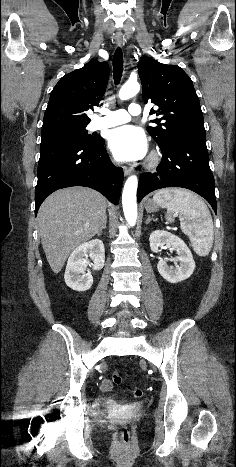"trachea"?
Returning a JSON list of instances; mask_svg holds the SVG:
<instances>
[{"label": "trachea", "mask_w": 236, "mask_h": 467, "mask_svg": "<svg viewBox=\"0 0 236 467\" xmlns=\"http://www.w3.org/2000/svg\"><path fill=\"white\" fill-rule=\"evenodd\" d=\"M123 72V54L120 48H117L113 57V75L115 84H119Z\"/></svg>", "instance_id": "3493384b"}]
</instances>
